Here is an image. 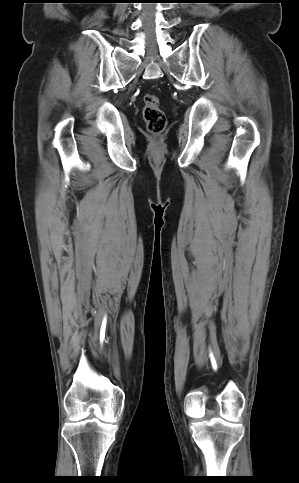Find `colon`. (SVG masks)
I'll return each mask as SVG.
<instances>
[{"instance_id": "colon-1", "label": "colon", "mask_w": 299, "mask_h": 483, "mask_svg": "<svg viewBox=\"0 0 299 483\" xmlns=\"http://www.w3.org/2000/svg\"><path fill=\"white\" fill-rule=\"evenodd\" d=\"M143 101L144 106L142 115L148 131L152 134H161L165 130L167 119L160 107L158 96L154 94H146Z\"/></svg>"}]
</instances>
